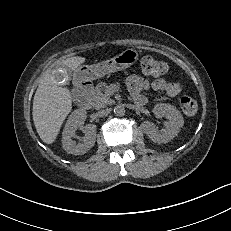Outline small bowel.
<instances>
[{
    "label": "small bowel",
    "instance_id": "small-bowel-1",
    "mask_svg": "<svg viewBox=\"0 0 231 231\" xmlns=\"http://www.w3.org/2000/svg\"><path fill=\"white\" fill-rule=\"evenodd\" d=\"M125 83L134 101L140 97L146 100L142 95V91L144 90L164 91L170 97H177L182 91V86L179 82L162 78L149 82L141 76L130 75L125 79Z\"/></svg>",
    "mask_w": 231,
    "mask_h": 231
}]
</instances>
